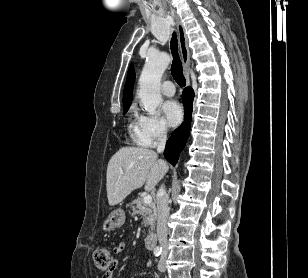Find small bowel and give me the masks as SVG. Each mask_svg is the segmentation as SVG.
Returning <instances> with one entry per match:
<instances>
[{"instance_id": "1", "label": "small bowel", "mask_w": 308, "mask_h": 278, "mask_svg": "<svg viewBox=\"0 0 308 278\" xmlns=\"http://www.w3.org/2000/svg\"><path fill=\"white\" fill-rule=\"evenodd\" d=\"M124 249H125L124 243H120L119 245H117L113 248V254H114L115 258H114L112 268L102 278H112V270L117 266L118 258L121 256ZM147 265L148 266L150 265L149 261L147 262Z\"/></svg>"}]
</instances>
